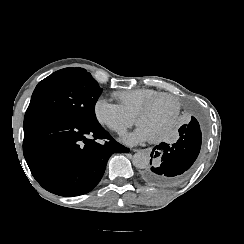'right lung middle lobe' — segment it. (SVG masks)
<instances>
[{
  "instance_id": "obj_1",
  "label": "right lung middle lobe",
  "mask_w": 244,
  "mask_h": 244,
  "mask_svg": "<svg viewBox=\"0 0 244 244\" xmlns=\"http://www.w3.org/2000/svg\"><path fill=\"white\" fill-rule=\"evenodd\" d=\"M101 91L85 69H61L38 83L26 112H51L83 124L98 123L95 104Z\"/></svg>"
}]
</instances>
